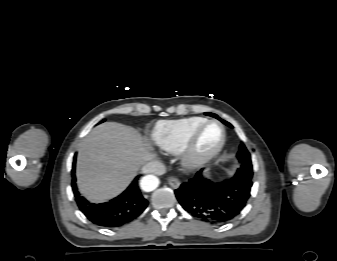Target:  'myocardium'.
I'll list each match as a JSON object with an SVG mask.
<instances>
[{"mask_svg":"<svg viewBox=\"0 0 337 261\" xmlns=\"http://www.w3.org/2000/svg\"><path fill=\"white\" fill-rule=\"evenodd\" d=\"M217 125L221 132V138L218 144L206 153H198L196 144L202 131L210 126ZM226 142V131L224 126L217 120H207L198 126L189 136L182 153V162L184 166L190 169L202 168L210 163L223 149Z\"/></svg>","mask_w":337,"mask_h":261,"instance_id":"obj_1","label":"myocardium"}]
</instances>
